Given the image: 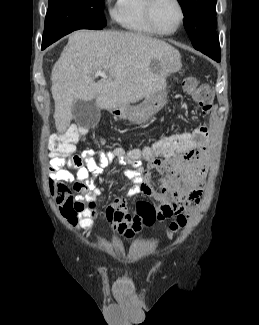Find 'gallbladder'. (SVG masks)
Returning a JSON list of instances; mask_svg holds the SVG:
<instances>
[{
	"label": "gallbladder",
	"instance_id": "obj_1",
	"mask_svg": "<svg viewBox=\"0 0 259 325\" xmlns=\"http://www.w3.org/2000/svg\"><path fill=\"white\" fill-rule=\"evenodd\" d=\"M72 114L74 119L89 127L96 126L100 120L98 107L96 105V102L93 100L75 101L72 105Z\"/></svg>",
	"mask_w": 259,
	"mask_h": 325
}]
</instances>
